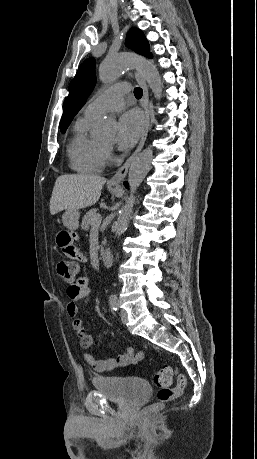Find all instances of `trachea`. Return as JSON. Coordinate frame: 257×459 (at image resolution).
<instances>
[{"label":"trachea","mask_w":257,"mask_h":459,"mask_svg":"<svg viewBox=\"0 0 257 459\" xmlns=\"http://www.w3.org/2000/svg\"><path fill=\"white\" fill-rule=\"evenodd\" d=\"M134 95L138 99L141 98L142 95H143V90L141 88H139V87L135 88L134 89Z\"/></svg>","instance_id":"1"}]
</instances>
